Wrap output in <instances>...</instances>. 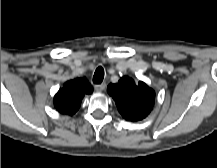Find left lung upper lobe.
Wrapping results in <instances>:
<instances>
[{"mask_svg":"<svg viewBox=\"0 0 217 168\" xmlns=\"http://www.w3.org/2000/svg\"><path fill=\"white\" fill-rule=\"evenodd\" d=\"M107 92L113 97L120 114L128 121L144 119L154 105V90L128 76L116 84L108 85Z\"/></svg>","mask_w":217,"mask_h":168,"instance_id":"1","label":"left lung upper lobe"}]
</instances>
